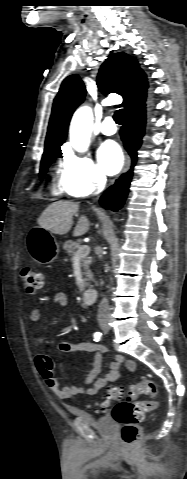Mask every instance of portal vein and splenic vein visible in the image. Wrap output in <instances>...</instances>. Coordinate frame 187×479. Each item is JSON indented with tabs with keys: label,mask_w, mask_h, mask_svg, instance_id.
Segmentation results:
<instances>
[{
	"label": "portal vein and splenic vein",
	"mask_w": 187,
	"mask_h": 479,
	"mask_svg": "<svg viewBox=\"0 0 187 479\" xmlns=\"http://www.w3.org/2000/svg\"><path fill=\"white\" fill-rule=\"evenodd\" d=\"M89 253H90V247L88 245L80 246L75 253L74 259H81L87 256Z\"/></svg>",
	"instance_id": "18ae733b"
}]
</instances>
